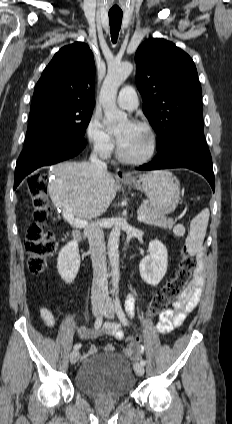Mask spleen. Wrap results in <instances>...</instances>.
Instances as JSON below:
<instances>
[{
	"mask_svg": "<svg viewBox=\"0 0 232 424\" xmlns=\"http://www.w3.org/2000/svg\"><path fill=\"white\" fill-rule=\"evenodd\" d=\"M209 209L202 210L190 223V232L185 243L190 255H195L201 248L206 235L209 221Z\"/></svg>",
	"mask_w": 232,
	"mask_h": 424,
	"instance_id": "spleen-1",
	"label": "spleen"
}]
</instances>
